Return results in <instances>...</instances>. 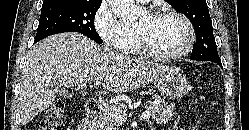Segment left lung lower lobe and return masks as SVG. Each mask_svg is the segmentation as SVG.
<instances>
[{
  "label": "left lung lower lobe",
  "mask_w": 249,
  "mask_h": 130,
  "mask_svg": "<svg viewBox=\"0 0 249 130\" xmlns=\"http://www.w3.org/2000/svg\"><path fill=\"white\" fill-rule=\"evenodd\" d=\"M212 62L217 63L223 69L221 60H214Z\"/></svg>",
  "instance_id": "0a47b994"
}]
</instances>
